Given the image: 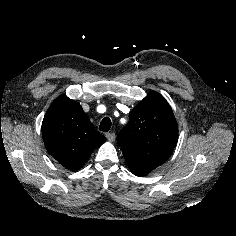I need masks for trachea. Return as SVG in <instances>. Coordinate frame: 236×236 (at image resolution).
<instances>
[{"label": "trachea", "instance_id": "trachea-1", "mask_svg": "<svg viewBox=\"0 0 236 236\" xmlns=\"http://www.w3.org/2000/svg\"><path fill=\"white\" fill-rule=\"evenodd\" d=\"M111 128V120L109 117L103 118L100 123L99 129L103 132H108Z\"/></svg>", "mask_w": 236, "mask_h": 236}]
</instances>
